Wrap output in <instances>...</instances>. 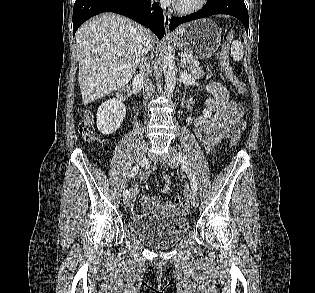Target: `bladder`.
I'll list each match as a JSON object with an SVG mask.
<instances>
[{
  "label": "bladder",
  "mask_w": 315,
  "mask_h": 293,
  "mask_svg": "<svg viewBox=\"0 0 315 293\" xmlns=\"http://www.w3.org/2000/svg\"><path fill=\"white\" fill-rule=\"evenodd\" d=\"M129 230L152 247H168L179 242L189 230L188 220L177 212L162 211L133 216Z\"/></svg>",
  "instance_id": "1"
}]
</instances>
